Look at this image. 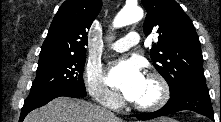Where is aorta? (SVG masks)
<instances>
[{"instance_id":"1","label":"aorta","mask_w":221,"mask_h":122,"mask_svg":"<svg viewBox=\"0 0 221 122\" xmlns=\"http://www.w3.org/2000/svg\"><path fill=\"white\" fill-rule=\"evenodd\" d=\"M143 18V10L139 6H125L114 18L113 27L120 28Z\"/></svg>"}]
</instances>
